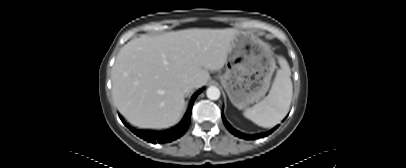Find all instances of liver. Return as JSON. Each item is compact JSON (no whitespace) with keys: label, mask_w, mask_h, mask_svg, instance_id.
I'll return each instance as SVG.
<instances>
[{"label":"liver","mask_w":406,"mask_h":168,"mask_svg":"<svg viewBox=\"0 0 406 168\" xmlns=\"http://www.w3.org/2000/svg\"><path fill=\"white\" fill-rule=\"evenodd\" d=\"M237 29H185L143 35L122 47L112 68V94L119 112L140 128L178 123L185 109L183 86L202 87L208 70L221 69Z\"/></svg>","instance_id":"liver-1"}]
</instances>
